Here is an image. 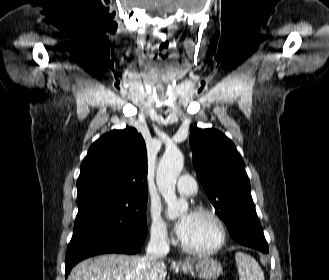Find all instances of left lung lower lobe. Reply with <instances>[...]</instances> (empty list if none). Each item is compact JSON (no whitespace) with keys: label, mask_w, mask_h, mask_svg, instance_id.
I'll return each instance as SVG.
<instances>
[{"label":"left lung lower lobe","mask_w":329,"mask_h":280,"mask_svg":"<svg viewBox=\"0 0 329 280\" xmlns=\"http://www.w3.org/2000/svg\"><path fill=\"white\" fill-rule=\"evenodd\" d=\"M236 241H244L243 245L255 248L262 252H268V244L265 240L255 208L250 211V221L246 225L235 226L230 231Z\"/></svg>","instance_id":"left-lung-lower-lobe-1"}]
</instances>
